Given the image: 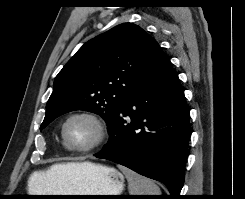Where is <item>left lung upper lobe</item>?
I'll return each instance as SVG.
<instances>
[{
	"instance_id": "1",
	"label": "left lung upper lobe",
	"mask_w": 245,
	"mask_h": 199,
	"mask_svg": "<svg viewBox=\"0 0 245 199\" xmlns=\"http://www.w3.org/2000/svg\"><path fill=\"white\" fill-rule=\"evenodd\" d=\"M163 53L154 38L132 23L89 40L56 76L40 130L73 110L94 112L108 124Z\"/></svg>"
}]
</instances>
